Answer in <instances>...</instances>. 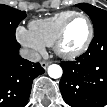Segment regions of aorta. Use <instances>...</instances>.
I'll return each mask as SVG.
<instances>
[{
    "instance_id": "1",
    "label": "aorta",
    "mask_w": 107,
    "mask_h": 107,
    "mask_svg": "<svg viewBox=\"0 0 107 107\" xmlns=\"http://www.w3.org/2000/svg\"><path fill=\"white\" fill-rule=\"evenodd\" d=\"M62 68L57 64H52L48 67V75L51 78L57 79L62 76Z\"/></svg>"
}]
</instances>
